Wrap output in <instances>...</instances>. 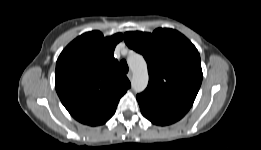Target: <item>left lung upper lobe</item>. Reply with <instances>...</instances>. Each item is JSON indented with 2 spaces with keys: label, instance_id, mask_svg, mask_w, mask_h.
Returning <instances> with one entry per match:
<instances>
[{
  "label": "left lung upper lobe",
  "instance_id": "obj_1",
  "mask_svg": "<svg viewBox=\"0 0 261 150\" xmlns=\"http://www.w3.org/2000/svg\"><path fill=\"white\" fill-rule=\"evenodd\" d=\"M124 40L147 62L149 83L138 96L187 113L203 77L196 47L178 31L167 28L153 33L126 32Z\"/></svg>",
  "mask_w": 261,
  "mask_h": 150
}]
</instances>
